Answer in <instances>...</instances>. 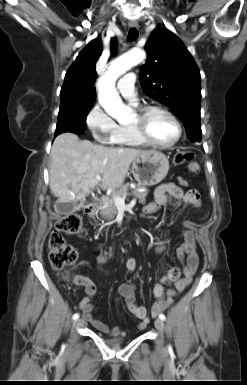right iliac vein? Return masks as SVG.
<instances>
[{"mask_svg": "<svg viewBox=\"0 0 247 385\" xmlns=\"http://www.w3.org/2000/svg\"><path fill=\"white\" fill-rule=\"evenodd\" d=\"M83 324V319H78L74 322V327H80Z\"/></svg>", "mask_w": 247, "mask_h": 385, "instance_id": "63e3f726", "label": "right iliac vein"}]
</instances>
